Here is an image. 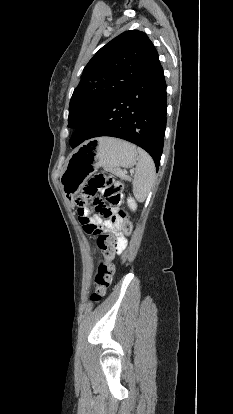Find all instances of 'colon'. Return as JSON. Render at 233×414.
I'll use <instances>...</instances> for the list:
<instances>
[{
    "label": "colon",
    "instance_id": "obj_1",
    "mask_svg": "<svg viewBox=\"0 0 233 414\" xmlns=\"http://www.w3.org/2000/svg\"><path fill=\"white\" fill-rule=\"evenodd\" d=\"M122 189V182L111 175L97 173L91 177L85 185L82 194L75 200V204L78 206V211L81 214L80 220L87 233L98 234V230L95 226L88 224V214L85 211L86 200L90 197L96 196L97 194H101L102 198H96L94 200V204L96 205L98 211L109 217L111 211L110 207L120 202ZM118 215L123 222L124 234L129 236L132 232V223L127 212L121 209L119 210ZM97 244L103 253L105 261L98 265L94 278L95 290L91 296V300L94 302L99 301L104 296L106 290L113 281L115 268L112 260L117 249L119 248L117 239L108 233L98 234Z\"/></svg>",
    "mask_w": 233,
    "mask_h": 414
}]
</instances>
